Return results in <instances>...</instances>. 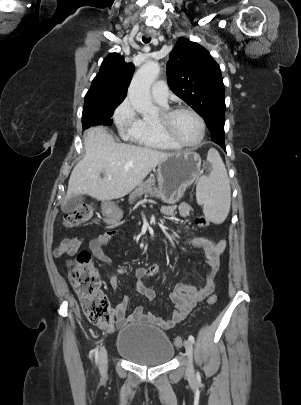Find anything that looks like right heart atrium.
<instances>
[{"instance_id": "right-heart-atrium-1", "label": "right heart atrium", "mask_w": 301, "mask_h": 405, "mask_svg": "<svg viewBox=\"0 0 301 405\" xmlns=\"http://www.w3.org/2000/svg\"><path fill=\"white\" fill-rule=\"evenodd\" d=\"M114 121L119 131L128 135L138 125L140 119L129 99H124L115 109Z\"/></svg>"}]
</instances>
